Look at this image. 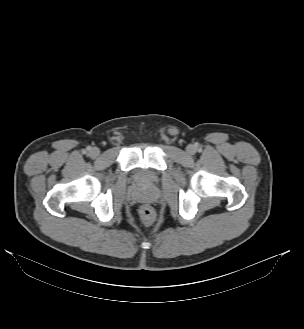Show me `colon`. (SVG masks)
<instances>
[{"label": "colon", "mask_w": 304, "mask_h": 329, "mask_svg": "<svg viewBox=\"0 0 304 329\" xmlns=\"http://www.w3.org/2000/svg\"><path fill=\"white\" fill-rule=\"evenodd\" d=\"M141 223L145 226L151 225L155 221V211L152 207L144 205L139 210Z\"/></svg>", "instance_id": "5ec220e1"}]
</instances>
